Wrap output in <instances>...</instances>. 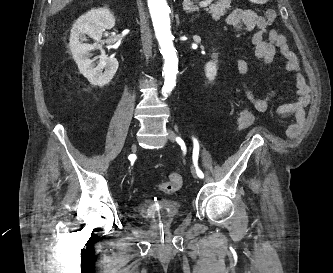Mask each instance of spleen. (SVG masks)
<instances>
[{
  "mask_svg": "<svg viewBox=\"0 0 333 273\" xmlns=\"http://www.w3.org/2000/svg\"><path fill=\"white\" fill-rule=\"evenodd\" d=\"M253 3H257V4H264L266 3L268 0H250Z\"/></svg>",
  "mask_w": 333,
  "mask_h": 273,
  "instance_id": "obj_1",
  "label": "spleen"
}]
</instances>
